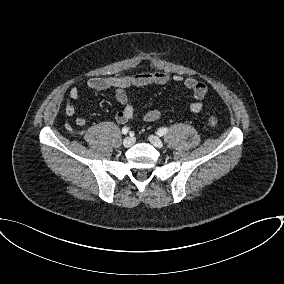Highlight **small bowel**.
Listing matches in <instances>:
<instances>
[{"instance_id":"1","label":"small bowel","mask_w":284,"mask_h":284,"mask_svg":"<svg viewBox=\"0 0 284 284\" xmlns=\"http://www.w3.org/2000/svg\"><path fill=\"white\" fill-rule=\"evenodd\" d=\"M171 81L181 83L186 89L191 91L193 101L189 106V111L194 114L200 113L204 107L207 86L192 77H183L180 75L170 76L166 72H151L121 77H92L87 80L86 85L92 90L113 92L118 103L123 106V109L117 112L115 119L119 124H126L139 115L131 103L128 93L129 90L149 85H165ZM69 98L72 100L80 98V90L78 87L74 86L70 89ZM75 111V105L68 101L65 105L66 114L71 116L75 114ZM162 116L163 111L157 109L148 110L142 115L143 119L147 122L158 121ZM76 124L78 126H84L86 119L84 117H78Z\"/></svg>"}]
</instances>
